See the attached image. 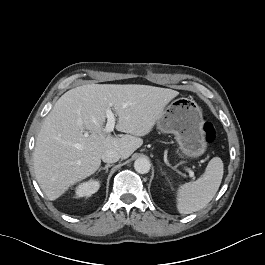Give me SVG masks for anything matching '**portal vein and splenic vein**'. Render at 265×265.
Returning a JSON list of instances; mask_svg holds the SVG:
<instances>
[{
	"label": "portal vein and splenic vein",
	"instance_id": "18ae733b",
	"mask_svg": "<svg viewBox=\"0 0 265 265\" xmlns=\"http://www.w3.org/2000/svg\"><path fill=\"white\" fill-rule=\"evenodd\" d=\"M106 117H107V123H106V126L104 128V131L106 133H111L114 129L115 122H116V118H115L113 112L111 111V109L106 110ZM186 170L189 173V176L191 178H194V172L188 168Z\"/></svg>",
	"mask_w": 265,
	"mask_h": 265
}]
</instances>
